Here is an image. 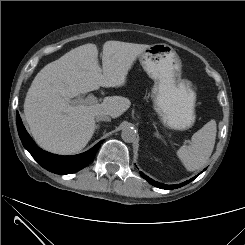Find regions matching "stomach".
<instances>
[{"label": "stomach", "mask_w": 245, "mask_h": 245, "mask_svg": "<svg viewBox=\"0 0 245 245\" xmlns=\"http://www.w3.org/2000/svg\"><path fill=\"white\" fill-rule=\"evenodd\" d=\"M142 68L154 80L152 98L162 122L171 129L185 130L195 122L196 94L181 79V60L165 43L146 48L139 56Z\"/></svg>", "instance_id": "0dacf381"}]
</instances>
